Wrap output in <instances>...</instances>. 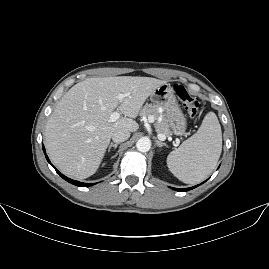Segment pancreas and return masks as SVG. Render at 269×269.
Instances as JSON below:
<instances>
[{
    "label": "pancreas",
    "instance_id": "obj_1",
    "mask_svg": "<svg viewBox=\"0 0 269 269\" xmlns=\"http://www.w3.org/2000/svg\"><path fill=\"white\" fill-rule=\"evenodd\" d=\"M158 108H159L158 104H148L141 110L140 114L145 116H153L155 120L161 117L162 121L160 123L156 121L155 123L156 131L157 133L169 135L170 129L167 120L163 115H160Z\"/></svg>",
    "mask_w": 269,
    "mask_h": 269
}]
</instances>
